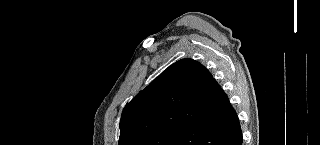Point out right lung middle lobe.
Segmentation results:
<instances>
[{
    "label": "right lung middle lobe",
    "instance_id": "obj_1",
    "mask_svg": "<svg viewBox=\"0 0 320 145\" xmlns=\"http://www.w3.org/2000/svg\"><path fill=\"white\" fill-rule=\"evenodd\" d=\"M181 129H167L150 133L137 140L133 145H168L180 133Z\"/></svg>",
    "mask_w": 320,
    "mask_h": 145
}]
</instances>
